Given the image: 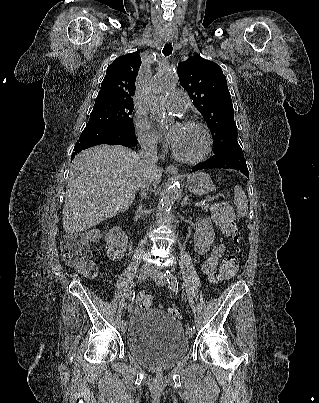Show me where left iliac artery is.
I'll list each match as a JSON object with an SVG mask.
<instances>
[{"mask_svg": "<svg viewBox=\"0 0 319 403\" xmlns=\"http://www.w3.org/2000/svg\"><path fill=\"white\" fill-rule=\"evenodd\" d=\"M164 275L167 279L170 290L177 293L178 292V282H177L176 276L170 270H166ZM190 330L195 331V327L194 326L191 327Z\"/></svg>", "mask_w": 319, "mask_h": 403, "instance_id": "1", "label": "left iliac artery"}]
</instances>
